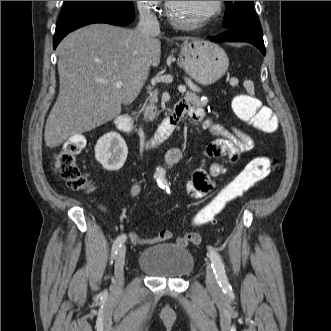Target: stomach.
<instances>
[{
	"mask_svg": "<svg viewBox=\"0 0 331 331\" xmlns=\"http://www.w3.org/2000/svg\"><path fill=\"white\" fill-rule=\"evenodd\" d=\"M179 60L186 73L202 85H210L219 80L229 66L225 51L219 45L204 39L184 42Z\"/></svg>",
	"mask_w": 331,
	"mask_h": 331,
	"instance_id": "stomach-1",
	"label": "stomach"
}]
</instances>
